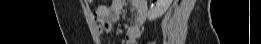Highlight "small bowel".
Returning a JSON list of instances; mask_svg holds the SVG:
<instances>
[{"mask_svg":"<svg viewBox=\"0 0 261 44\" xmlns=\"http://www.w3.org/2000/svg\"><path fill=\"white\" fill-rule=\"evenodd\" d=\"M126 5V1L113 0L106 5H101L94 13V20L99 33L110 32L111 24L115 23ZM137 12L136 22L130 25L125 36L126 44H135L141 35V25L145 19L147 7L143 1L135 0L132 2Z\"/></svg>","mask_w":261,"mask_h":44,"instance_id":"c3829d8e","label":"small bowel"}]
</instances>
